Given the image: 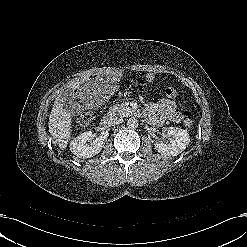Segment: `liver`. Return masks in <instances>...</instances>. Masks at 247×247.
Here are the masks:
<instances>
[{
    "instance_id": "1",
    "label": "liver",
    "mask_w": 247,
    "mask_h": 247,
    "mask_svg": "<svg viewBox=\"0 0 247 247\" xmlns=\"http://www.w3.org/2000/svg\"><path fill=\"white\" fill-rule=\"evenodd\" d=\"M87 78H82L81 80H71L66 87L69 89H77L82 83H84ZM63 99L59 95L54 102L51 114L49 116V132L53 139L57 143L58 147L62 150L66 149L67 144L71 138L72 131V117L69 112H67L63 105Z\"/></svg>"
}]
</instances>
